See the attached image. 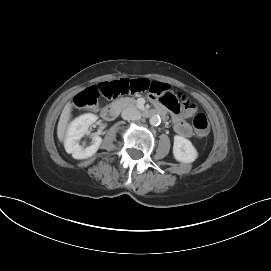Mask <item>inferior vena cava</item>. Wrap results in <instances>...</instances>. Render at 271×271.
Instances as JSON below:
<instances>
[{
	"label": "inferior vena cava",
	"mask_w": 271,
	"mask_h": 271,
	"mask_svg": "<svg viewBox=\"0 0 271 271\" xmlns=\"http://www.w3.org/2000/svg\"><path fill=\"white\" fill-rule=\"evenodd\" d=\"M121 116L124 120H139L141 118L140 112L134 107L125 108Z\"/></svg>",
	"instance_id": "1"
}]
</instances>
